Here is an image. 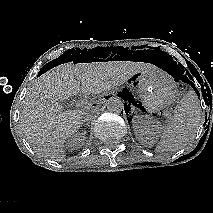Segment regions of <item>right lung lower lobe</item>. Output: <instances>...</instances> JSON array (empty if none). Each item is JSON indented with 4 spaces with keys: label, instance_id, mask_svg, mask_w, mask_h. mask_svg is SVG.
Masks as SVG:
<instances>
[{
    "label": "right lung lower lobe",
    "instance_id": "98d812e1",
    "mask_svg": "<svg viewBox=\"0 0 213 213\" xmlns=\"http://www.w3.org/2000/svg\"><path fill=\"white\" fill-rule=\"evenodd\" d=\"M45 66H47V65H45ZM45 66H44V67L41 69V71H40L41 73L44 71V69H45ZM40 72H39V73H40Z\"/></svg>",
    "mask_w": 213,
    "mask_h": 213
}]
</instances>
